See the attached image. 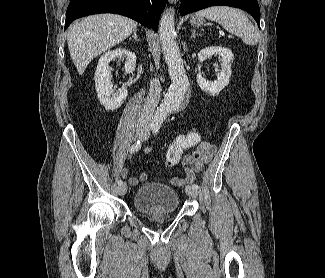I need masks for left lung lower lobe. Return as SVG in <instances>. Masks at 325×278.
I'll return each instance as SVG.
<instances>
[{
	"label": "left lung lower lobe",
	"mask_w": 325,
	"mask_h": 278,
	"mask_svg": "<svg viewBox=\"0 0 325 278\" xmlns=\"http://www.w3.org/2000/svg\"><path fill=\"white\" fill-rule=\"evenodd\" d=\"M231 6L250 13L260 28V9L257 0H182L180 14L182 16L210 6Z\"/></svg>",
	"instance_id": "left-lung-lower-lobe-1"
}]
</instances>
